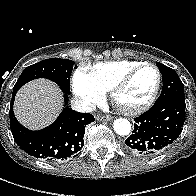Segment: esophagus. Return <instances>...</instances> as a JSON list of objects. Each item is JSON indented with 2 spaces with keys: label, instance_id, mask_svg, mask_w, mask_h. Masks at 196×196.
<instances>
[{
  "label": "esophagus",
  "instance_id": "34e87169",
  "mask_svg": "<svg viewBox=\"0 0 196 196\" xmlns=\"http://www.w3.org/2000/svg\"><path fill=\"white\" fill-rule=\"evenodd\" d=\"M96 119L97 120H104V121H111L112 117L111 116L102 115V116H97Z\"/></svg>",
  "mask_w": 196,
  "mask_h": 196
}]
</instances>
